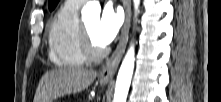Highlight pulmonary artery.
I'll return each mask as SVG.
<instances>
[{
	"mask_svg": "<svg viewBox=\"0 0 221 102\" xmlns=\"http://www.w3.org/2000/svg\"><path fill=\"white\" fill-rule=\"evenodd\" d=\"M73 1H76V2H78V3L83 4V3L86 2L87 0H73Z\"/></svg>",
	"mask_w": 221,
	"mask_h": 102,
	"instance_id": "e3ab8cb5",
	"label": "pulmonary artery"
}]
</instances>
